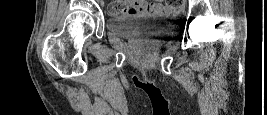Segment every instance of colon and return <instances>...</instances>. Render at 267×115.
<instances>
[{
    "mask_svg": "<svg viewBox=\"0 0 267 115\" xmlns=\"http://www.w3.org/2000/svg\"><path fill=\"white\" fill-rule=\"evenodd\" d=\"M184 2H185L184 0H169L166 2V4L174 9H178L184 5ZM130 12H131L130 6H127L123 3H113L108 7V14L113 17L120 16Z\"/></svg>",
    "mask_w": 267,
    "mask_h": 115,
    "instance_id": "obj_1",
    "label": "colon"
}]
</instances>
